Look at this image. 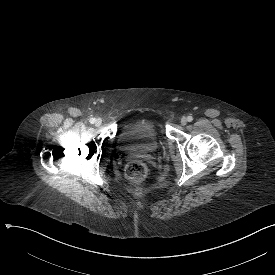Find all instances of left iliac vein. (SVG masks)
Returning <instances> with one entry per match:
<instances>
[{
  "mask_svg": "<svg viewBox=\"0 0 275 275\" xmlns=\"http://www.w3.org/2000/svg\"><path fill=\"white\" fill-rule=\"evenodd\" d=\"M181 125H186L187 124V118L182 117L180 120Z\"/></svg>",
  "mask_w": 275,
  "mask_h": 275,
  "instance_id": "4c4485c4",
  "label": "left iliac vein"
}]
</instances>
